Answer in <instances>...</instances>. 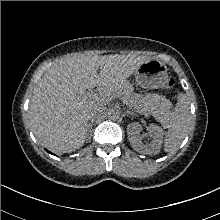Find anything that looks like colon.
I'll list each match as a JSON object with an SVG mask.
<instances>
[{
	"mask_svg": "<svg viewBox=\"0 0 220 220\" xmlns=\"http://www.w3.org/2000/svg\"><path fill=\"white\" fill-rule=\"evenodd\" d=\"M173 83H174L173 78H172V77H169V78L167 79L166 85H167L168 88H171V87L173 86Z\"/></svg>",
	"mask_w": 220,
	"mask_h": 220,
	"instance_id": "colon-1",
	"label": "colon"
}]
</instances>
